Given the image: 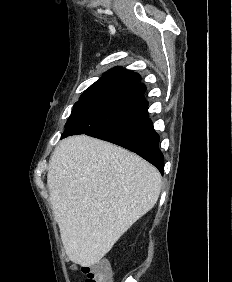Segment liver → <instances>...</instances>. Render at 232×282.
I'll return each mask as SVG.
<instances>
[{
  "label": "liver",
  "instance_id": "obj_1",
  "mask_svg": "<svg viewBox=\"0 0 232 282\" xmlns=\"http://www.w3.org/2000/svg\"><path fill=\"white\" fill-rule=\"evenodd\" d=\"M47 186L67 257L92 266L153 208L162 179L138 155L79 135L63 139L55 148Z\"/></svg>",
  "mask_w": 232,
  "mask_h": 282
}]
</instances>
